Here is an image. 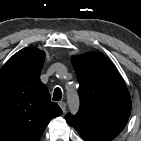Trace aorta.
Returning a JSON list of instances; mask_svg holds the SVG:
<instances>
[{
    "label": "aorta",
    "instance_id": "1",
    "mask_svg": "<svg viewBox=\"0 0 141 141\" xmlns=\"http://www.w3.org/2000/svg\"><path fill=\"white\" fill-rule=\"evenodd\" d=\"M69 105H70L72 110L77 109L78 100H77V97L74 94L69 95Z\"/></svg>",
    "mask_w": 141,
    "mask_h": 141
}]
</instances>
